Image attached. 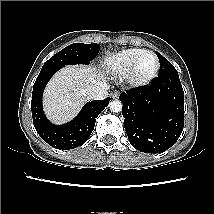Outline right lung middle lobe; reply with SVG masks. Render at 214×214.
I'll use <instances>...</instances> for the list:
<instances>
[{"mask_svg":"<svg viewBox=\"0 0 214 214\" xmlns=\"http://www.w3.org/2000/svg\"><path fill=\"white\" fill-rule=\"evenodd\" d=\"M100 46L96 43L71 44L45 62L42 69L58 67L62 68L65 65L75 64H89L91 59L94 58L99 52Z\"/></svg>","mask_w":214,"mask_h":214,"instance_id":"1","label":"right lung middle lobe"}]
</instances>
